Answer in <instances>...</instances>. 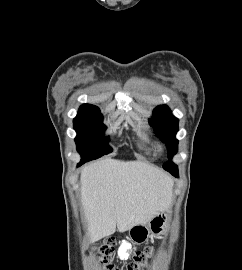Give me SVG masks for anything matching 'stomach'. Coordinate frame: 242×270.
Returning a JSON list of instances; mask_svg holds the SVG:
<instances>
[{"label": "stomach", "instance_id": "0dacf381", "mask_svg": "<svg viewBox=\"0 0 242 270\" xmlns=\"http://www.w3.org/2000/svg\"><path fill=\"white\" fill-rule=\"evenodd\" d=\"M169 212H159L147 224H136L128 230L130 240L135 244H143L152 236H163L169 227Z\"/></svg>", "mask_w": 242, "mask_h": 270}]
</instances>
